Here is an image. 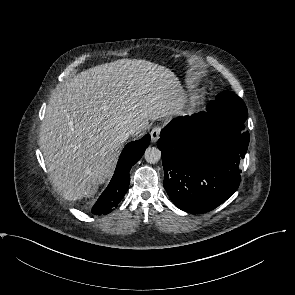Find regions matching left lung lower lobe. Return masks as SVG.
I'll list each match as a JSON object with an SVG mask.
<instances>
[{"label": "left lung lower lobe", "mask_w": 295, "mask_h": 295, "mask_svg": "<svg viewBox=\"0 0 295 295\" xmlns=\"http://www.w3.org/2000/svg\"><path fill=\"white\" fill-rule=\"evenodd\" d=\"M206 110L173 119L160 133L164 188L179 209L206 213L225 202L241 180L249 132L244 121Z\"/></svg>", "instance_id": "1"}]
</instances>
